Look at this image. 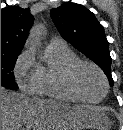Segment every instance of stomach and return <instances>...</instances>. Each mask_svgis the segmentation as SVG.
<instances>
[{
  "label": "stomach",
  "instance_id": "1",
  "mask_svg": "<svg viewBox=\"0 0 123 130\" xmlns=\"http://www.w3.org/2000/svg\"><path fill=\"white\" fill-rule=\"evenodd\" d=\"M85 128H82V127H77V128H75V129H73V130H84Z\"/></svg>",
  "mask_w": 123,
  "mask_h": 130
}]
</instances>
